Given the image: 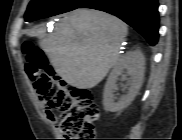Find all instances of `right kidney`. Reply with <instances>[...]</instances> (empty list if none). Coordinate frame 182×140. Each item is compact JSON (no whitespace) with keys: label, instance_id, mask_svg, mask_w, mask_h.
<instances>
[{"label":"right kidney","instance_id":"1","mask_svg":"<svg viewBox=\"0 0 182 140\" xmlns=\"http://www.w3.org/2000/svg\"><path fill=\"white\" fill-rule=\"evenodd\" d=\"M145 57L140 51H131L123 55L119 62L113 67L107 79L104 93L103 105L107 111L118 112L127 107L137 95L144 78ZM121 77L122 81L128 80V91L117 100L115 91L116 82Z\"/></svg>","mask_w":182,"mask_h":140}]
</instances>
